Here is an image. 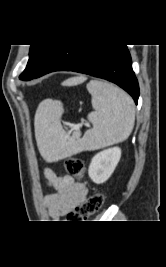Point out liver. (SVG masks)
Masks as SVG:
<instances>
[{"label": "liver", "mask_w": 166, "mask_h": 267, "mask_svg": "<svg viewBox=\"0 0 166 267\" xmlns=\"http://www.w3.org/2000/svg\"><path fill=\"white\" fill-rule=\"evenodd\" d=\"M85 77L84 76H80V77H73V78H70L66 81H64L62 83V85L64 86H74V85H78V84H81L85 81Z\"/></svg>", "instance_id": "6515ba94"}]
</instances>
